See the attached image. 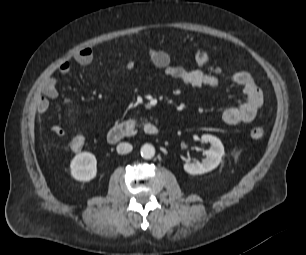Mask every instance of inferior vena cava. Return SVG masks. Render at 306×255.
I'll list each match as a JSON object with an SVG mask.
<instances>
[{"label":"inferior vena cava","mask_w":306,"mask_h":255,"mask_svg":"<svg viewBox=\"0 0 306 255\" xmlns=\"http://www.w3.org/2000/svg\"><path fill=\"white\" fill-rule=\"evenodd\" d=\"M132 149L133 147L129 143H120L117 145V148H116L118 154H127L131 152Z\"/></svg>","instance_id":"602c4592"}]
</instances>
